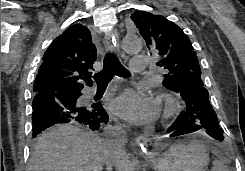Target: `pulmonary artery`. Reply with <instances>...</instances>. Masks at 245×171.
I'll return each mask as SVG.
<instances>
[{
	"mask_svg": "<svg viewBox=\"0 0 245 171\" xmlns=\"http://www.w3.org/2000/svg\"><path fill=\"white\" fill-rule=\"evenodd\" d=\"M148 58L145 56H134L131 61V69L134 72H143L146 69Z\"/></svg>",
	"mask_w": 245,
	"mask_h": 171,
	"instance_id": "e3ab8cb5",
	"label": "pulmonary artery"
}]
</instances>
